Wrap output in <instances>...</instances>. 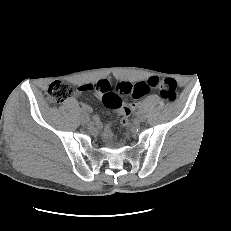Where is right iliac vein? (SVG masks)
Returning a JSON list of instances; mask_svg holds the SVG:
<instances>
[{
  "instance_id": "right-iliac-vein-1",
  "label": "right iliac vein",
  "mask_w": 231,
  "mask_h": 231,
  "mask_svg": "<svg viewBox=\"0 0 231 231\" xmlns=\"http://www.w3.org/2000/svg\"><path fill=\"white\" fill-rule=\"evenodd\" d=\"M82 122L83 123H90V117H89V115L88 114H83L82 115Z\"/></svg>"
}]
</instances>
